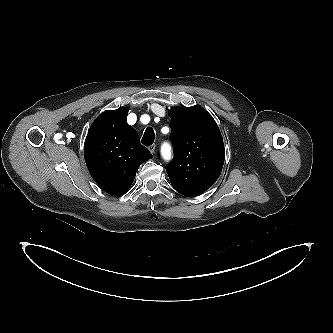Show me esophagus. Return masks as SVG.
I'll return each instance as SVG.
<instances>
[{
  "label": "esophagus",
  "mask_w": 333,
  "mask_h": 333,
  "mask_svg": "<svg viewBox=\"0 0 333 333\" xmlns=\"http://www.w3.org/2000/svg\"><path fill=\"white\" fill-rule=\"evenodd\" d=\"M148 149H149V151H150L152 154H154L155 149H156V145H155V144H152V145H150V146L148 147Z\"/></svg>",
  "instance_id": "obj_1"
}]
</instances>
